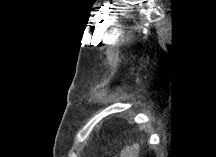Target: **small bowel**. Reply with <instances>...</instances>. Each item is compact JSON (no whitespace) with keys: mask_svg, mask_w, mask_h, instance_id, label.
<instances>
[{"mask_svg":"<svg viewBox=\"0 0 216 157\" xmlns=\"http://www.w3.org/2000/svg\"><path fill=\"white\" fill-rule=\"evenodd\" d=\"M139 153L138 145H133L129 147H125L122 151L120 156L121 157H137Z\"/></svg>","mask_w":216,"mask_h":157,"instance_id":"small-bowel-1","label":"small bowel"}]
</instances>
